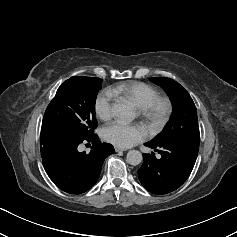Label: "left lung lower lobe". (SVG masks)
<instances>
[{
  "mask_svg": "<svg viewBox=\"0 0 237 237\" xmlns=\"http://www.w3.org/2000/svg\"><path fill=\"white\" fill-rule=\"evenodd\" d=\"M145 146L161 154L158 159L152 154L143 155V165L138 170L141 184L153 194H167L179 188L189 177L199 150V144L175 143Z\"/></svg>",
  "mask_w": 237,
  "mask_h": 237,
  "instance_id": "obj_1",
  "label": "left lung lower lobe"
}]
</instances>
